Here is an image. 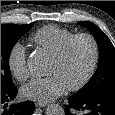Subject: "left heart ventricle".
I'll return each mask as SVG.
<instances>
[{"label":"left heart ventricle","instance_id":"1","mask_svg":"<svg viewBox=\"0 0 115 115\" xmlns=\"http://www.w3.org/2000/svg\"><path fill=\"white\" fill-rule=\"evenodd\" d=\"M91 62L92 47L88 41L80 39L72 44L61 62L50 60L46 73L58 76L69 87L86 75Z\"/></svg>","mask_w":115,"mask_h":115}]
</instances>
